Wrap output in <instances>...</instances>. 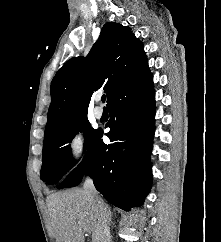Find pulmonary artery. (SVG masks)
Wrapping results in <instances>:
<instances>
[{
    "label": "pulmonary artery",
    "mask_w": 221,
    "mask_h": 242,
    "mask_svg": "<svg viewBox=\"0 0 221 242\" xmlns=\"http://www.w3.org/2000/svg\"><path fill=\"white\" fill-rule=\"evenodd\" d=\"M99 99H96V102H98ZM94 116L96 119H100L103 116V109L100 106H95L94 110H93Z\"/></svg>",
    "instance_id": "1"
}]
</instances>
